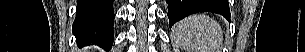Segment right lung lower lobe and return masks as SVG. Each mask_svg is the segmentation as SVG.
Listing matches in <instances>:
<instances>
[{
	"mask_svg": "<svg viewBox=\"0 0 305 52\" xmlns=\"http://www.w3.org/2000/svg\"><path fill=\"white\" fill-rule=\"evenodd\" d=\"M114 0H78L73 33L79 45L97 44L110 49L113 44Z\"/></svg>",
	"mask_w": 305,
	"mask_h": 52,
	"instance_id": "right-lung-lower-lobe-1",
	"label": "right lung lower lobe"
}]
</instances>
